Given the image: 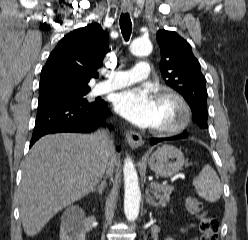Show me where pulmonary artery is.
<instances>
[{"mask_svg":"<svg viewBox=\"0 0 248 240\" xmlns=\"http://www.w3.org/2000/svg\"><path fill=\"white\" fill-rule=\"evenodd\" d=\"M150 67L147 61H139L133 69L126 71H112L105 81L98 83L94 89V95H100L113 91L133 83L145 80L149 77Z\"/></svg>","mask_w":248,"mask_h":240,"instance_id":"e3ab8cb5","label":"pulmonary artery"}]
</instances>
